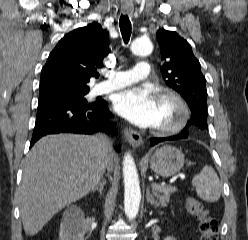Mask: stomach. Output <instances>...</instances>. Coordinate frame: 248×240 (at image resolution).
Returning <instances> with one entry per match:
<instances>
[{
  "mask_svg": "<svg viewBox=\"0 0 248 240\" xmlns=\"http://www.w3.org/2000/svg\"><path fill=\"white\" fill-rule=\"evenodd\" d=\"M150 168L162 177H169L181 170L184 154L174 146L164 145L147 157Z\"/></svg>",
  "mask_w": 248,
  "mask_h": 240,
  "instance_id": "stomach-1",
  "label": "stomach"
}]
</instances>
